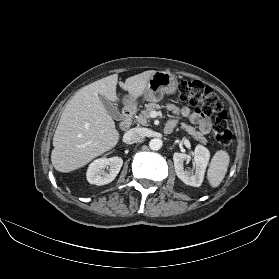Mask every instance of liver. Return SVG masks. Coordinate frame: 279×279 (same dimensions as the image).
<instances>
[{
  "label": "liver",
  "instance_id": "obj_1",
  "mask_svg": "<svg viewBox=\"0 0 279 279\" xmlns=\"http://www.w3.org/2000/svg\"><path fill=\"white\" fill-rule=\"evenodd\" d=\"M149 70L126 79L122 88L135 101L143 95L150 77ZM118 75L113 74L80 89L69 101L53 137L51 162L59 172L68 173L114 148L120 138L115 122L100 101H119L116 93Z\"/></svg>",
  "mask_w": 279,
  "mask_h": 279
}]
</instances>
